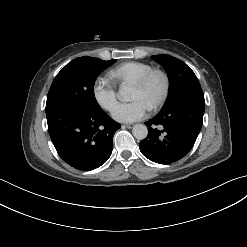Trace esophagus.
<instances>
[{"instance_id":"obj_1","label":"esophagus","mask_w":247,"mask_h":247,"mask_svg":"<svg viewBox=\"0 0 247 247\" xmlns=\"http://www.w3.org/2000/svg\"><path fill=\"white\" fill-rule=\"evenodd\" d=\"M123 127L131 129L134 127V124H124Z\"/></svg>"}]
</instances>
